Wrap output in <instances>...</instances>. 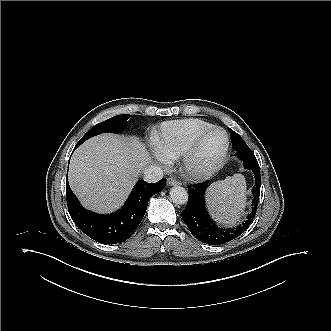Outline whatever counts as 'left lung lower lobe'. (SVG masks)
Instances as JSON below:
<instances>
[{
	"mask_svg": "<svg viewBox=\"0 0 331 331\" xmlns=\"http://www.w3.org/2000/svg\"><path fill=\"white\" fill-rule=\"evenodd\" d=\"M233 149L241 148V141L231 137ZM244 167L251 170L255 176V187L253 189L254 201L252 202V212L247 220L235 228L222 229L217 227L210 219L204 201L205 188L208 182L189 185V199L186 208L182 211V219L190 232L201 242L210 245H220L229 242L240 236L251 224L256 214L257 204L260 195V169L259 165L244 162Z\"/></svg>",
	"mask_w": 331,
	"mask_h": 331,
	"instance_id": "0a47b994",
	"label": "left lung lower lobe"
}]
</instances>
